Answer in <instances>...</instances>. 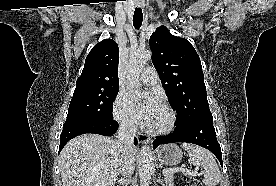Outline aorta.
<instances>
[{
    "instance_id": "aorta-1",
    "label": "aorta",
    "mask_w": 276,
    "mask_h": 186,
    "mask_svg": "<svg viewBox=\"0 0 276 186\" xmlns=\"http://www.w3.org/2000/svg\"><path fill=\"white\" fill-rule=\"evenodd\" d=\"M151 56L152 54L150 50L136 51L130 55L126 66V83L131 91L138 93L140 89L139 74L145 64L151 59ZM138 167L141 186H149L153 172V155L151 148L148 145H144L141 148Z\"/></svg>"
}]
</instances>
